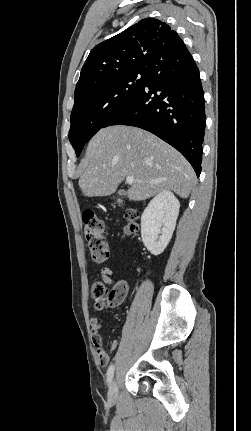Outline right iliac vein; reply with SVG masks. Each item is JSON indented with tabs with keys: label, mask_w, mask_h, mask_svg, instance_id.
Listing matches in <instances>:
<instances>
[{
	"label": "right iliac vein",
	"mask_w": 251,
	"mask_h": 431,
	"mask_svg": "<svg viewBox=\"0 0 251 431\" xmlns=\"http://www.w3.org/2000/svg\"><path fill=\"white\" fill-rule=\"evenodd\" d=\"M117 393H118L117 383H116V380H113L111 381V384L108 390V398L111 402L116 401Z\"/></svg>",
	"instance_id": "1"
}]
</instances>
